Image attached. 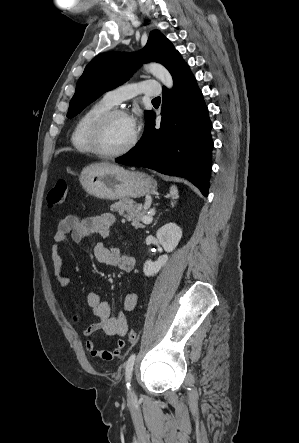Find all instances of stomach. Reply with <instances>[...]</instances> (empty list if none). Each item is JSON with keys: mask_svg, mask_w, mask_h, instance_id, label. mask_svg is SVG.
<instances>
[{"mask_svg": "<svg viewBox=\"0 0 299 443\" xmlns=\"http://www.w3.org/2000/svg\"><path fill=\"white\" fill-rule=\"evenodd\" d=\"M79 180L87 193L106 200L139 198L154 193L157 188L151 176L110 163L85 167Z\"/></svg>", "mask_w": 299, "mask_h": 443, "instance_id": "1", "label": "stomach"}]
</instances>
